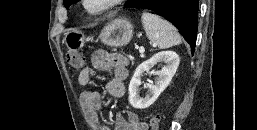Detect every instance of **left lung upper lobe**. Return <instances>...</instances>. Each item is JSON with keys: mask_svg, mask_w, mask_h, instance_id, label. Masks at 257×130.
Here are the masks:
<instances>
[{"mask_svg": "<svg viewBox=\"0 0 257 130\" xmlns=\"http://www.w3.org/2000/svg\"><path fill=\"white\" fill-rule=\"evenodd\" d=\"M74 2H76V0H64V5H65V7L66 8H69V6L72 4V3H74ZM139 2V0H129L127 3H126V5H135V4H137Z\"/></svg>", "mask_w": 257, "mask_h": 130, "instance_id": "left-lung-upper-lobe-1", "label": "left lung upper lobe"}]
</instances>
